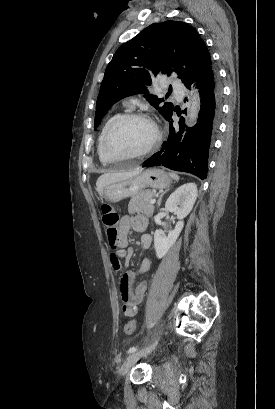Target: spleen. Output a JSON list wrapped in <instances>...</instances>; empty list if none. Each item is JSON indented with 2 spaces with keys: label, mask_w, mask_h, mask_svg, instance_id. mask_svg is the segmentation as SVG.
I'll list each match as a JSON object with an SVG mask.
<instances>
[{
  "label": "spleen",
  "mask_w": 275,
  "mask_h": 409,
  "mask_svg": "<svg viewBox=\"0 0 275 409\" xmlns=\"http://www.w3.org/2000/svg\"><path fill=\"white\" fill-rule=\"evenodd\" d=\"M170 176H172V178H174V180H179V176H178V174H175V172H170Z\"/></svg>",
  "instance_id": "3e777b00"
}]
</instances>
